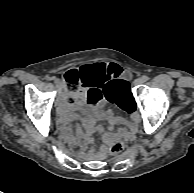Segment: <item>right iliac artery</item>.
Listing matches in <instances>:
<instances>
[{"instance_id":"obj_1","label":"right iliac artery","mask_w":194,"mask_h":193,"mask_svg":"<svg viewBox=\"0 0 194 193\" xmlns=\"http://www.w3.org/2000/svg\"><path fill=\"white\" fill-rule=\"evenodd\" d=\"M52 79L56 81V78L54 76L52 77Z\"/></svg>"}]
</instances>
